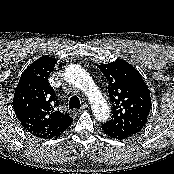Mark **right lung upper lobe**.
<instances>
[{"mask_svg": "<svg viewBox=\"0 0 174 174\" xmlns=\"http://www.w3.org/2000/svg\"><path fill=\"white\" fill-rule=\"evenodd\" d=\"M56 59L40 57L20 77L13 98V109L21 125L43 139L60 136L73 122L69 113L59 110V100L48 81Z\"/></svg>", "mask_w": 174, "mask_h": 174, "instance_id": "cb5924a9", "label": "right lung upper lobe"}]
</instances>
